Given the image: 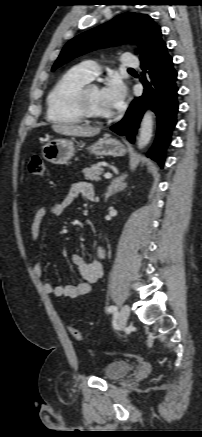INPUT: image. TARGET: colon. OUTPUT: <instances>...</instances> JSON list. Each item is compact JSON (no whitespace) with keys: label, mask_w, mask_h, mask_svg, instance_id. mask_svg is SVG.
<instances>
[{"label":"colon","mask_w":202,"mask_h":437,"mask_svg":"<svg viewBox=\"0 0 202 437\" xmlns=\"http://www.w3.org/2000/svg\"><path fill=\"white\" fill-rule=\"evenodd\" d=\"M29 171L35 176H41L44 174L45 165L43 159L38 154H33L29 161ZM70 333L74 339L83 340L82 333L75 327L70 328Z\"/></svg>","instance_id":"obj_1"}]
</instances>
